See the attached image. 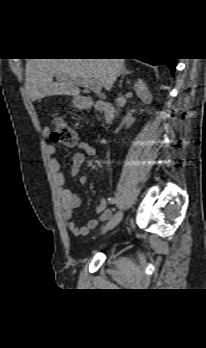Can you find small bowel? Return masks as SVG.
I'll return each mask as SVG.
<instances>
[{
  "instance_id": "1",
  "label": "small bowel",
  "mask_w": 206,
  "mask_h": 348,
  "mask_svg": "<svg viewBox=\"0 0 206 348\" xmlns=\"http://www.w3.org/2000/svg\"><path fill=\"white\" fill-rule=\"evenodd\" d=\"M44 135L48 134V130L43 131ZM75 153L72 157V165L70 168V175L77 176L80 172L81 166L84 162L85 156H92L95 154V147L89 142L78 141L73 144ZM46 154L49 157V166L53 175V180L59 190V196L61 199V206L64 217L68 220L67 228L75 236H85L90 230L95 229L101 222L108 220L112 216V211L107 207V200L102 198L99 205L96 208L98 218H92L87 221L83 226H78L72 218L75 215L76 210L81 205V198L74 194L66 187V180L63 172L61 171V164L59 159L55 156L56 148L52 144L45 145ZM79 182L82 185H86L88 179L86 176H80Z\"/></svg>"
}]
</instances>
